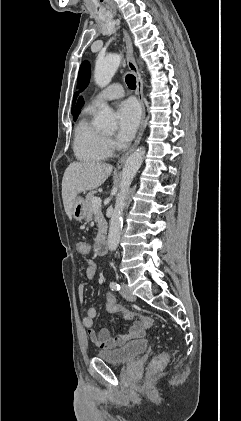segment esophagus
<instances>
[{"label": "esophagus", "mask_w": 241, "mask_h": 421, "mask_svg": "<svg viewBox=\"0 0 241 421\" xmlns=\"http://www.w3.org/2000/svg\"><path fill=\"white\" fill-rule=\"evenodd\" d=\"M124 39H125L126 50H127V66L136 78V83H137L136 93H137V96H138V99H139V102H140V105H141L142 113H141L140 129H139L137 138H136L135 142L133 143V145L131 146V148L118 160V163H117L118 168H121L123 166V164L125 163V160L129 156V154H131V152H133L134 149L138 146V144L141 140V137L143 135L144 123H145V104H144V98H143V80H142L141 74L138 70V67H137V65L134 61L132 41H131V38L128 35L126 30H124Z\"/></svg>", "instance_id": "1"}]
</instances>
